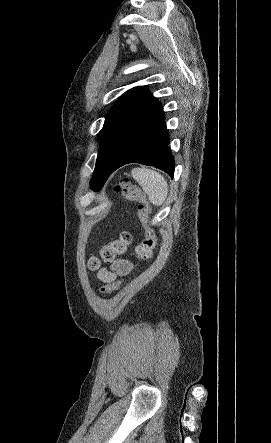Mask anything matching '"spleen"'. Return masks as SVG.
Masks as SVG:
<instances>
[{"mask_svg": "<svg viewBox=\"0 0 271 443\" xmlns=\"http://www.w3.org/2000/svg\"><path fill=\"white\" fill-rule=\"evenodd\" d=\"M131 174L154 206L165 204L168 184L161 174L154 172V170H147V168H134Z\"/></svg>", "mask_w": 271, "mask_h": 443, "instance_id": "1", "label": "spleen"}]
</instances>
